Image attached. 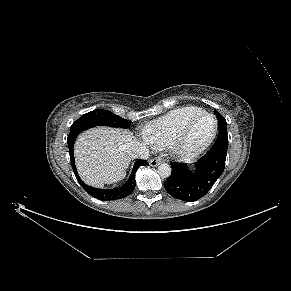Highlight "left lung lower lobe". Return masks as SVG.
<instances>
[{"instance_id":"1","label":"left lung lower lobe","mask_w":291,"mask_h":291,"mask_svg":"<svg viewBox=\"0 0 291 291\" xmlns=\"http://www.w3.org/2000/svg\"><path fill=\"white\" fill-rule=\"evenodd\" d=\"M227 148V133L219 132L212 148L195 163L194 171L184 163L172 162V173L164 183L166 191L186 202L205 196L224 171Z\"/></svg>"}]
</instances>
